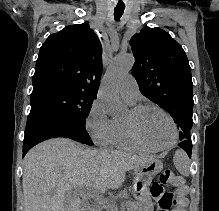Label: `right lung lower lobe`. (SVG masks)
<instances>
[{
  "label": "right lung lower lobe",
  "instance_id": "obj_1",
  "mask_svg": "<svg viewBox=\"0 0 219 211\" xmlns=\"http://www.w3.org/2000/svg\"><path fill=\"white\" fill-rule=\"evenodd\" d=\"M56 137L70 138L83 144L93 145L85 126L50 110L35 109L30 111L27 119L23 157L36 144Z\"/></svg>",
  "mask_w": 219,
  "mask_h": 211
}]
</instances>
